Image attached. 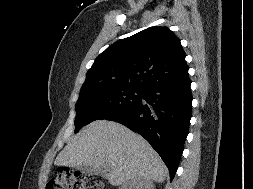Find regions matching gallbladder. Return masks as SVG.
<instances>
[{
	"instance_id": "bac80fb5",
	"label": "gallbladder",
	"mask_w": 253,
	"mask_h": 189,
	"mask_svg": "<svg viewBox=\"0 0 253 189\" xmlns=\"http://www.w3.org/2000/svg\"><path fill=\"white\" fill-rule=\"evenodd\" d=\"M76 169L81 170V171L91 174V175H100L102 177L106 176V173L103 169H96V168L90 167V166H76Z\"/></svg>"
}]
</instances>
